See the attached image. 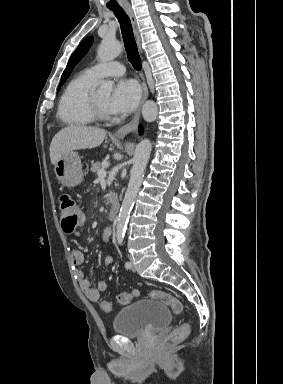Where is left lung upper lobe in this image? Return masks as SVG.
Instances as JSON below:
<instances>
[{
	"instance_id": "5c2ea615",
	"label": "left lung upper lobe",
	"mask_w": 283,
	"mask_h": 384,
	"mask_svg": "<svg viewBox=\"0 0 283 384\" xmlns=\"http://www.w3.org/2000/svg\"><path fill=\"white\" fill-rule=\"evenodd\" d=\"M93 42V37H89L85 39L73 52L71 55L68 64L62 74L60 85L65 82V80L68 78L69 74L71 73L72 69L74 68L75 64H77L80 59L87 53L88 49L90 48L91 44Z\"/></svg>"
}]
</instances>
